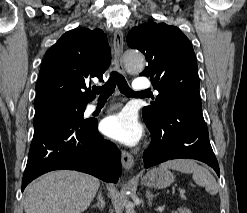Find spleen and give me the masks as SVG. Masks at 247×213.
<instances>
[{
	"mask_svg": "<svg viewBox=\"0 0 247 213\" xmlns=\"http://www.w3.org/2000/svg\"><path fill=\"white\" fill-rule=\"evenodd\" d=\"M159 167L161 169H172L183 173H191L193 174V180L198 185L203 186L209 194L215 195L218 192V184L213 175L193 160H170L162 163Z\"/></svg>",
	"mask_w": 247,
	"mask_h": 213,
	"instance_id": "3e777b00",
	"label": "spleen"
}]
</instances>
